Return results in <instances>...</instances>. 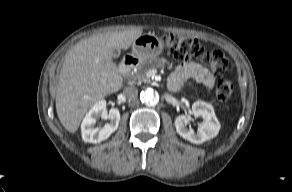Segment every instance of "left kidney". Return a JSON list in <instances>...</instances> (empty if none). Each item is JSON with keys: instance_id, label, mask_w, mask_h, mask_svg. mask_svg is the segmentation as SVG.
<instances>
[{"instance_id": "obj_1", "label": "left kidney", "mask_w": 292, "mask_h": 192, "mask_svg": "<svg viewBox=\"0 0 292 192\" xmlns=\"http://www.w3.org/2000/svg\"><path fill=\"white\" fill-rule=\"evenodd\" d=\"M192 113L195 117H202L204 121L199 125L197 133H195L193 129L187 128L188 117L186 115L177 116L175 127L182 138L194 144H202L217 136L220 130V123L211 104L204 101H196L192 105Z\"/></svg>"}]
</instances>
